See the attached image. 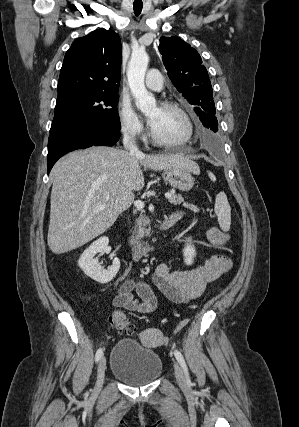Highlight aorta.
<instances>
[{"mask_svg":"<svg viewBox=\"0 0 299 427\" xmlns=\"http://www.w3.org/2000/svg\"><path fill=\"white\" fill-rule=\"evenodd\" d=\"M149 56L145 51H134L128 64L127 78L135 104L142 112L147 113L156 108L154 96L147 91L144 83Z\"/></svg>","mask_w":299,"mask_h":427,"instance_id":"aorta-1","label":"aorta"}]
</instances>
